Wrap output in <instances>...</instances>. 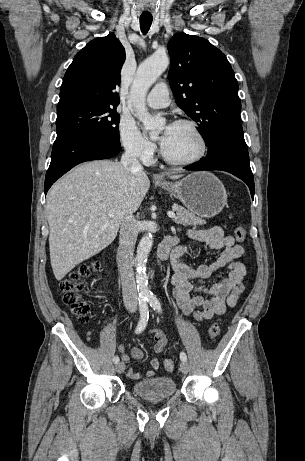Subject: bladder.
Listing matches in <instances>:
<instances>
[{
    "label": "bladder",
    "mask_w": 305,
    "mask_h": 461,
    "mask_svg": "<svg viewBox=\"0 0 305 461\" xmlns=\"http://www.w3.org/2000/svg\"><path fill=\"white\" fill-rule=\"evenodd\" d=\"M132 390L143 398L168 399L176 393V384L171 377L158 376L133 383Z\"/></svg>",
    "instance_id": "1"
}]
</instances>
